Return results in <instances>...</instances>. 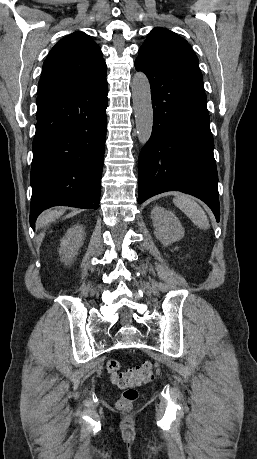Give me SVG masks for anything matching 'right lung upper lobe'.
I'll list each match as a JSON object with an SVG mask.
<instances>
[{"mask_svg":"<svg viewBox=\"0 0 257 459\" xmlns=\"http://www.w3.org/2000/svg\"><path fill=\"white\" fill-rule=\"evenodd\" d=\"M100 47L89 35L77 31L62 38L46 58L38 98L81 88L106 76Z\"/></svg>","mask_w":257,"mask_h":459,"instance_id":"cb5924a9","label":"right lung upper lobe"}]
</instances>
